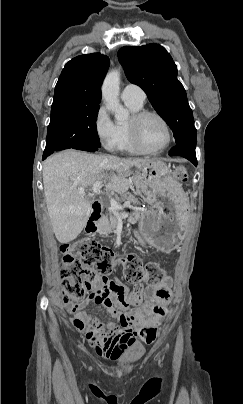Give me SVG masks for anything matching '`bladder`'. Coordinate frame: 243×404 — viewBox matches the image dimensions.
Returning <instances> with one entry per match:
<instances>
[{"instance_id": "bladder-1", "label": "bladder", "mask_w": 243, "mask_h": 404, "mask_svg": "<svg viewBox=\"0 0 243 404\" xmlns=\"http://www.w3.org/2000/svg\"><path fill=\"white\" fill-rule=\"evenodd\" d=\"M145 347L141 343H133L128 346L119 358L122 364H132L139 361L145 354Z\"/></svg>"}]
</instances>
